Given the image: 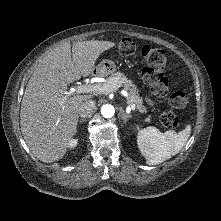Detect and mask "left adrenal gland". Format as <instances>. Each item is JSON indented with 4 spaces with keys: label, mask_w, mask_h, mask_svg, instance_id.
Listing matches in <instances>:
<instances>
[{
    "label": "left adrenal gland",
    "mask_w": 221,
    "mask_h": 221,
    "mask_svg": "<svg viewBox=\"0 0 221 221\" xmlns=\"http://www.w3.org/2000/svg\"><path fill=\"white\" fill-rule=\"evenodd\" d=\"M120 115L125 124L132 118L131 114H127L122 107H120Z\"/></svg>",
    "instance_id": "a2214340"
}]
</instances>
